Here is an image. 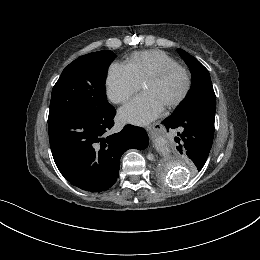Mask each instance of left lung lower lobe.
I'll use <instances>...</instances> for the list:
<instances>
[{"label":"left lung lower lobe","mask_w":260,"mask_h":260,"mask_svg":"<svg viewBox=\"0 0 260 260\" xmlns=\"http://www.w3.org/2000/svg\"><path fill=\"white\" fill-rule=\"evenodd\" d=\"M215 117L189 113L183 115H171L162 124L167 129L178 131L175 141L180 154L190 159L194 170L200 171L210 152L214 138Z\"/></svg>","instance_id":"0a47b994"}]
</instances>
